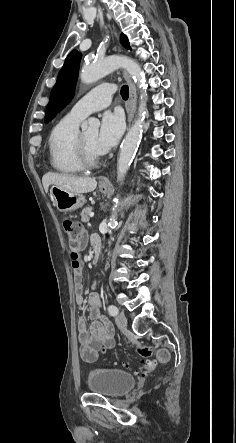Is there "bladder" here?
Listing matches in <instances>:
<instances>
[{
  "instance_id": "31cf9c89",
  "label": "bladder",
  "mask_w": 236,
  "mask_h": 443,
  "mask_svg": "<svg viewBox=\"0 0 236 443\" xmlns=\"http://www.w3.org/2000/svg\"><path fill=\"white\" fill-rule=\"evenodd\" d=\"M135 382L133 375L119 369H93L87 376L89 390L106 397H120L126 394L133 388Z\"/></svg>"
}]
</instances>
